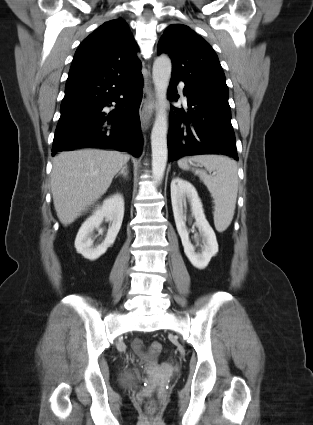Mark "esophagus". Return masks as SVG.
Here are the masks:
<instances>
[{
    "instance_id": "esophagus-1",
    "label": "esophagus",
    "mask_w": 313,
    "mask_h": 425,
    "mask_svg": "<svg viewBox=\"0 0 313 425\" xmlns=\"http://www.w3.org/2000/svg\"><path fill=\"white\" fill-rule=\"evenodd\" d=\"M155 102V92L151 85V80L148 77L145 80V90L140 106V121L143 131H145L150 125L152 108Z\"/></svg>"
}]
</instances>
